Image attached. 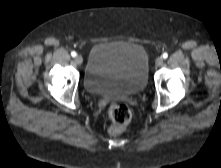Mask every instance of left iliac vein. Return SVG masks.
<instances>
[{"label":"left iliac vein","instance_id":"left-iliac-vein-1","mask_svg":"<svg viewBox=\"0 0 221 168\" xmlns=\"http://www.w3.org/2000/svg\"><path fill=\"white\" fill-rule=\"evenodd\" d=\"M163 64V58L162 57H158L157 59H156V65L157 66H161Z\"/></svg>","mask_w":221,"mask_h":168}]
</instances>
